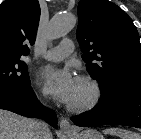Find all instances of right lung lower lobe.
Here are the masks:
<instances>
[{
  "instance_id": "right-lung-lower-lobe-1",
  "label": "right lung lower lobe",
  "mask_w": 141,
  "mask_h": 139,
  "mask_svg": "<svg viewBox=\"0 0 141 139\" xmlns=\"http://www.w3.org/2000/svg\"><path fill=\"white\" fill-rule=\"evenodd\" d=\"M0 109L9 110L26 117L41 118L54 127L58 123L55 112L41 105L31 86L0 89Z\"/></svg>"
}]
</instances>
